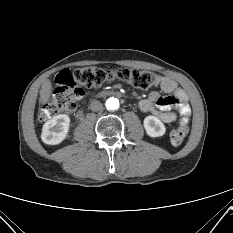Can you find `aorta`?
I'll return each instance as SVG.
<instances>
[{
	"mask_svg": "<svg viewBox=\"0 0 233 233\" xmlns=\"http://www.w3.org/2000/svg\"><path fill=\"white\" fill-rule=\"evenodd\" d=\"M106 108L108 110H116L119 108V100L117 98L111 97L106 101Z\"/></svg>",
	"mask_w": 233,
	"mask_h": 233,
	"instance_id": "1",
	"label": "aorta"
}]
</instances>
